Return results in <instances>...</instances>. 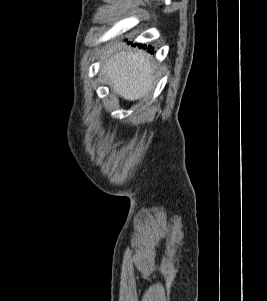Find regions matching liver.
<instances>
[{"instance_id": "6515ba94", "label": "liver", "mask_w": 267, "mask_h": 301, "mask_svg": "<svg viewBox=\"0 0 267 301\" xmlns=\"http://www.w3.org/2000/svg\"><path fill=\"white\" fill-rule=\"evenodd\" d=\"M102 73L113 91L125 100L140 99L152 90L154 67L149 55L138 51L108 50Z\"/></svg>"}]
</instances>
